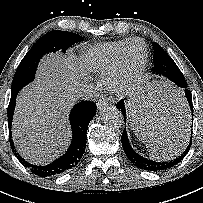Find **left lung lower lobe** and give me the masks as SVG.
<instances>
[{
  "instance_id": "1",
  "label": "left lung lower lobe",
  "mask_w": 203,
  "mask_h": 203,
  "mask_svg": "<svg viewBox=\"0 0 203 203\" xmlns=\"http://www.w3.org/2000/svg\"><path fill=\"white\" fill-rule=\"evenodd\" d=\"M161 62L164 63L162 65V70L164 71L163 75L166 76L171 81H173L177 86L185 89L186 99H187L189 107H190V109L187 108L186 103H185V107L187 110L186 116H187V124H188L186 127H187L188 132H189L190 111L192 112V118H193V104H192L191 92L188 89H186V87H187L186 80H185L184 76L182 75L181 71L179 70L178 66L176 65V63L173 61V59H170L169 57H165L161 60ZM184 102H185V99H184ZM116 107L118 109H120L124 114H126L123 100L119 101L116 104ZM150 110H151L150 112H148L146 110L144 111V118L145 117L147 118L148 116L151 118H154V117H156L157 112H159L158 110H155L154 108H150ZM121 143H122V146H123V149H124L126 156L130 159V161L136 167L143 169V170L154 171V172L165 171V170L175 166L177 163H179L185 157V155L188 153V151L192 145V132H191L190 142H189V145L186 148V150L180 156L175 158L174 160L165 161V162L153 161L150 159H146V158L140 156L139 154H137L132 149V147L129 143L126 129L122 133Z\"/></svg>"
}]
</instances>
